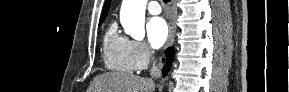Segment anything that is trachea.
<instances>
[{
    "instance_id": "3493384b",
    "label": "trachea",
    "mask_w": 289,
    "mask_h": 92,
    "mask_svg": "<svg viewBox=\"0 0 289 92\" xmlns=\"http://www.w3.org/2000/svg\"><path fill=\"white\" fill-rule=\"evenodd\" d=\"M165 3H167L169 0H163Z\"/></svg>"
}]
</instances>
